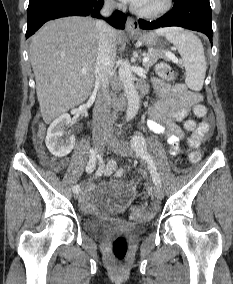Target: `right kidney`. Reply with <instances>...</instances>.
Masks as SVG:
<instances>
[{
    "label": "right kidney",
    "instance_id": "obj_1",
    "mask_svg": "<svg viewBox=\"0 0 233 284\" xmlns=\"http://www.w3.org/2000/svg\"><path fill=\"white\" fill-rule=\"evenodd\" d=\"M71 123V117L65 113L55 119L48 128L46 136V146L56 157L68 155L75 146L74 136L64 138L66 127Z\"/></svg>",
    "mask_w": 233,
    "mask_h": 284
}]
</instances>
